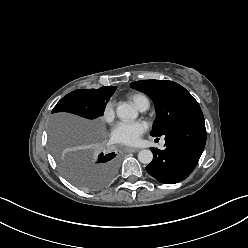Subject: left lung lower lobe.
I'll return each mask as SVG.
<instances>
[{
  "label": "left lung lower lobe",
  "instance_id": "obj_1",
  "mask_svg": "<svg viewBox=\"0 0 248 248\" xmlns=\"http://www.w3.org/2000/svg\"><path fill=\"white\" fill-rule=\"evenodd\" d=\"M165 149L152 148L153 160L147 172L162 183L186 179L196 167L206 143L203 113L194 114L165 135Z\"/></svg>",
  "mask_w": 248,
  "mask_h": 248
}]
</instances>
